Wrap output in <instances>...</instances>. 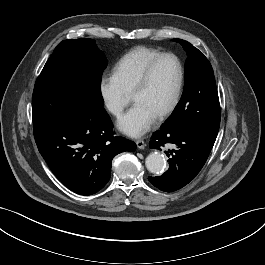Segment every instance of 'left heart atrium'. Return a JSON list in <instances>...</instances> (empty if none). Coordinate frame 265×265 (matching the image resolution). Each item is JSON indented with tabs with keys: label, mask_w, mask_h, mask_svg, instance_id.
Masks as SVG:
<instances>
[{
	"label": "left heart atrium",
	"mask_w": 265,
	"mask_h": 265,
	"mask_svg": "<svg viewBox=\"0 0 265 265\" xmlns=\"http://www.w3.org/2000/svg\"><path fill=\"white\" fill-rule=\"evenodd\" d=\"M156 116L140 104H134L117 122L118 128L131 137H140L154 124Z\"/></svg>",
	"instance_id": "obj_1"
}]
</instances>
